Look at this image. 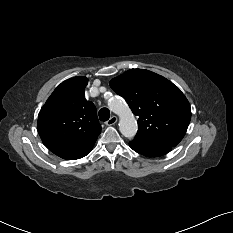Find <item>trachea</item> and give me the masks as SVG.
Masks as SVG:
<instances>
[{
  "label": "trachea",
  "mask_w": 233,
  "mask_h": 233,
  "mask_svg": "<svg viewBox=\"0 0 233 233\" xmlns=\"http://www.w3.org/2000/svg\"><path fill=\"white\" fill-rule=\"evenodd\" d=\"M110 118V111L108 108H101L99 110V119L101 121H107Z\"/></svg>",
  "instance_id": "trachea-1"
}]
</instances>
